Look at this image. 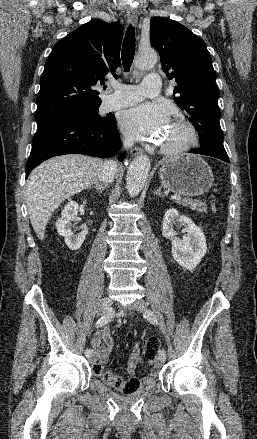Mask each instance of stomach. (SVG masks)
Returning <instances> with one entry per match:
<instances>
[{"instance_id":"1","label":"stomach","mask_w":257,"mask_h":439,"mask_svg":"<svg viewBox=\"0 0 257 439\" xmlns=\"http://www.w3.org/2000/svg\"><path fill=\"white\" fill-rule=\"evenodd\" d=\"M159 177L165 188L189 197L208 192L214 182L213 173L207 163L192 154L164 160Z\"/></svg>"}]
</instances>
